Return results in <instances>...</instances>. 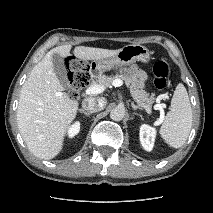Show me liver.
<instances>
[{
    "label": "liver",
    "mask_w": 213,
    "mask_h": 213,
    "mask_svg": "<svg viewBox=\"0 0 213 213\" xmlns=\"http://www.w3.org/2000/svg\"><path fill=\"white\" fill-rule=\"evenodd\" d=\"M71 45L51 49L34 66L22 86L17 109L19 132L29 151L38 158L49 160L62 150L71 123L76 117L79 103L63 92L52 63V55H70ZM118 50L77 46L76 58L89 61L109 58Z\"/></svg>",
    "instance_id": "obj_1"
}]
</instances>
